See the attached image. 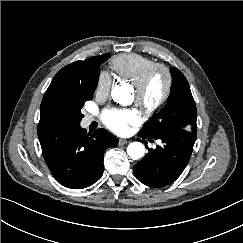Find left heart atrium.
<instances>
[{
    "mask_svg": "<svg viewBox=\"0 0 243 243\" xmlns=\"http://www.w3.org/2000/svg\"><path fill=\"white\" fill-rule=\"evenodd\" d=\"M138 120V114L133 109H113L103 115L105 125L119 134L126 133L129 125L136 124Z\"/></svg>",
    "mask_w": 243,
    "mask_h": 243,
    "instance_id": "1",
    "label": "left heart atrium"
}]
</instances>
